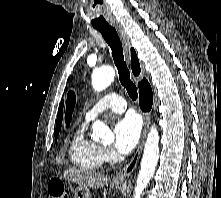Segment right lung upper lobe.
<instances>
[{
    "instance_id": "obj_1",
    "label": "right lung upper lobe",
    "mask_w": 221,
    "mask_h": 198,
    "mask_svg": "<svg viewBox=\"0 0 221 198\" xmlns=\"http://www.w3.org/2000/svg\"><path fill=\"white\" fill-rule=\"evenodd\" d=\"M131 67H132V72L135 74V75H139L140 73V65H139V62H138V59H137V56L134 52L133 49H131ZM62 111H63V101L60 105V108H59V112H58V116H57V120H56V129H55V132H59L60 131V128H61V125H62Z\"/></svg>"
}]
</instances>
